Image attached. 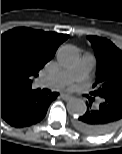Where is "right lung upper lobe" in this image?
I'll return each mask as SVG.
<instances>
[{"mask_svg":"<svg viewBox=\"0 0 122 154\" xmlns=\"http://www.w3.org/2000/svg\"><path fill=\"white\" fill-rule=\"evenodd\" d=\"M68 37L27 27L1 35V110L19 96L35 91L32 78Z\"/></svg>","mask_w":122,"mask_h":154,"instance_id":"1","label":"right lung upper lobe"}]
</instances>
